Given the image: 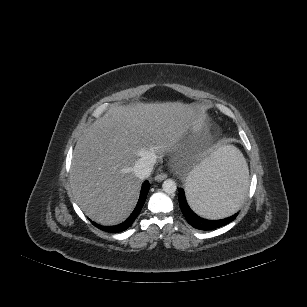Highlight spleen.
Listing matches in <instances>:
<instances>
[{"label": "spleen", "mask_w": 307, "mask_h": 307, "mask_svg": "<svg viewBox=\"0 0 307 307\" xmlns=\"http://www.w3.org/2000/svg\"><path fill=\"white\" fill-rule=\"evenodd\" d=\"M248 168L231 146H215L201 159L186 183L191 208L209 219L227 217L248 199Z\"/></svg>", "instance_id": "spleen-1"}]
</instances>
